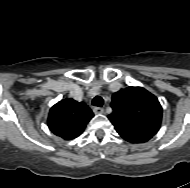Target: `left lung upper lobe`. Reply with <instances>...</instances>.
<instances>
[{
    "label": "left lung upper lobe",
    "instance_id": "left-lung-upper-lobe-1",
    "mask_svg": "<svg viewBox=\"0 0 190 188\" xmlns=\"http://www.w3.org/2000/svg\"><path fill=\"white\" fill-rule=\"evenodd\" d=\"M113 112L108 116L115 129L154 136L161 126L162 107L142 87H127L112 96Z\"/></svg>",
    "mask_w": 190,
    "mask_h": 188
}]
</instances>
